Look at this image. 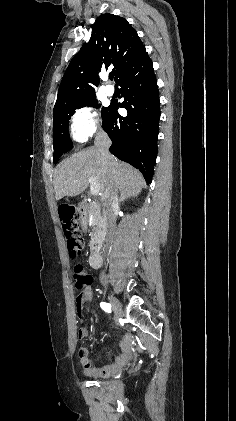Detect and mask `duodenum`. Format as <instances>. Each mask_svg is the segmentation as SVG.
Instances as JSON below:
<instances>
[{
    "instance_id": "duodenum-1",
    "label": "duodenum",
    "mask_w": 236,
    "mask_h": 421,
    "mask_svg": "<svg viewBox=\"0 0 236 421\" xmlns=\"http://www.w3.org/2000/svg\"><path fill=\"white\" fill-rule=\"evenodd\" d=\"M85 209H86V201H80L75 207V213L79 216L80 221L85 226ZM90 265L97 269L101 267L102 264V257L101 253L98 249H94L90 255ZM122 347V354L116 359L115 363L109 366L96 368V369H89L88 374L93 377H105L114 374L119 368H121L129 359L130 356V348L127 341H123L121 343Z\"/></svg>"
}]
</instances>
